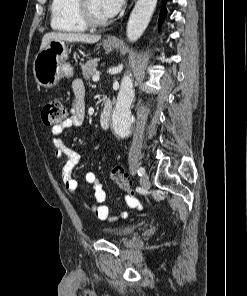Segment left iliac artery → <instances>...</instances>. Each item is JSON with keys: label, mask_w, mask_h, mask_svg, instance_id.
I'll return each instance as SVG.
<instances>
[{"label": "left iliac artery", "mask_w": 247, "mask_h": 296, "mask_svg": "<svg viewBox=\"0 0 247 296\" xmlns=\"http://www.w3.org/2000/svg\"><path fill=\"white\" fill-rule=\"evenodd\" d=\"M137 172L139 176H142L145 173V169L141 167Z\"/></svg>", "instance_id": "left-iliac-artery-1"}]
</instances>
